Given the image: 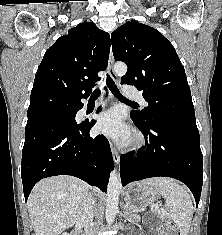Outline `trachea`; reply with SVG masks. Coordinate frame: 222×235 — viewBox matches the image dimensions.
<instances>
[{
	"mask_svg": "<svg viewBox=\"0 0 222 235\" xmlns=\"http://www.w3.org/2000/svg\"><path fill=\"white\" fill-rule=\"evenodd\" d=\"M106 84L107 86L109 87L110 91L118 98H120L121 100L123 101H126L128 103H132V104H137L133 101H130L128 99H126L121 93L120 91L118 90L117 86L115 85V82L113 81V79L107 75V78H106ZM100 95V89L96 88L92 94V96H99Z\"/></svg>",
	"mask_w": 222,
	"mask_h": 235,
	"instance_id": "obj_1",
	"label": "trachea"
}]
</instances>
